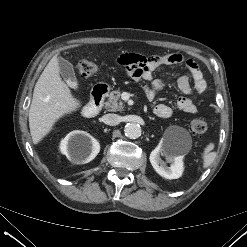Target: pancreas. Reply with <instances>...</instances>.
Listing matches in <instances>:
<instances>
[{"label":"pancreas","instance_id":"cf45deb5","mask_svg":"<svg viewBox=\"0 0 247 247\" xmlns=\"http://www.w3.org/2000/svg\"><path fill=\"white\" fill-rule=\"evenodd\" d=\"M120 90H114L108 94V100L105 103V108L110 111H123L124 105L120 99Z\"/></svg>","mask_w":247,"mask_h":247}]
</instances>
